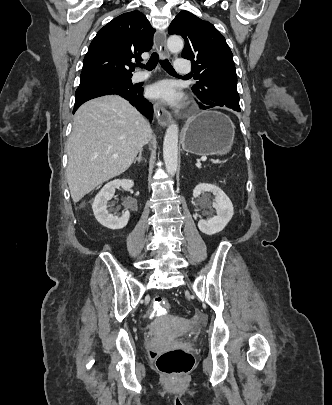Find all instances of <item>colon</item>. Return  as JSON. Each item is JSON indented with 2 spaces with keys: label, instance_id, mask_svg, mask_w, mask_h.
Wrapping results in <instances>:
<instances>
[{
  "label": "colon",
  "instance_id": "colon-1",
  "mask_svg": "<svg viewBox=\"0 0 332 405\" xmlns=\"http://www.w3.org/2000/svg\"><path fill=\"white\" fill-rule=\"evenodd\" d=\"M168 299L161 296L153 298L151 314L161 316L167 314ZM157 369L168 376H181L189 372L194 365V356L187 348L179 347L163 352L153 353Z\"/></svg>",
  "mask_w": 332,
  "mask_h": 405
}]
</instances>
